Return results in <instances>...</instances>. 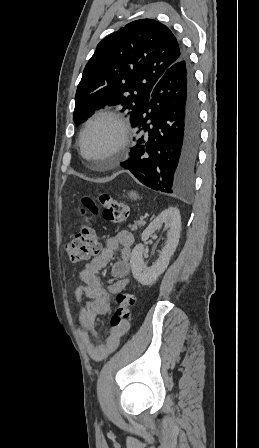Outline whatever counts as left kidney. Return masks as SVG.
Wrapping results in <instances>:
<instances>
[{
    "label": "left kidney",
    "mask_w": 259,
    "mask_h": 448,
    "mask_svg": "<svg viewBox=\"0 0 259 448\" xmlns=\"http://www.w3.org/2000/svg\"><path fill=\"white\" fill-rule=\"evenodd\" d=\"M162 224H165V228H170L167 232V242L164 246L158 260L151 268H146L143 262L144 246L143 244H137L132 250L130 264L132 274L142 286H152L156 282L158 276L165 272L171 256H173L179 242L180 230H181V216L178 208H168L159 214L158 218H155L148 228L144 230L141 238L142 240H148L151 234H154L156 230L161 228Z\"/></svg>",
    "instance_id": "5707ae66"
}]
</instances>
